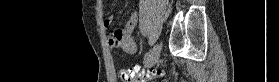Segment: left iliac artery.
<instances>
[{
    "label": "left iliac artery",
    "mask_w": 279,
    "mask_h": 82,
    "mask_svg": "<svg viewBox=\"0 0 279 82\" xmlns=\"http://www.w3.org/2000/svg\"><path fill=\"white\" fill-rule=\"evenodd\" d=\"M149 56H150V54H149V52H147L146 54H145V56H144V60H148L149 59ZM135 69L136 70H139L140 69V67L139 66H137V67H135Z\"/></svg>",
    "instance_id": "1"
}]
</instances>
